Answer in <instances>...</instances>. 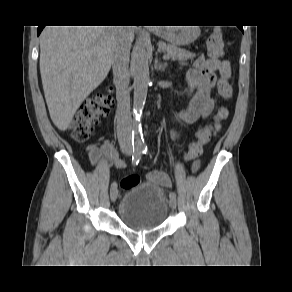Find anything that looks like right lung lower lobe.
Listing matches in <instances>:
<instances>
[{"label": "right lung lower lobe", "mask_w": 292, "mask_h": 292, "mask_svg": "<svg viewBox=\"0 0 292 292\" xmlns=\"http://www.w3.org/2000/svg\"><path fill=\"white\" fill-rule=\"evenodd\" d=\"M43 28H44V26H38L37 35H39L41 33Z\"/></svg>", "instance_id": "1"}]
</instances>
